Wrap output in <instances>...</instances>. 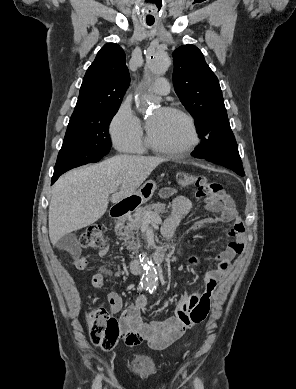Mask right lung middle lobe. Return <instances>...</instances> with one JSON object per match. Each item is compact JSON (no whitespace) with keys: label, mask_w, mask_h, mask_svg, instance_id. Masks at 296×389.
<instances>
[{"label":"right lung middle lobe","mask_w":296,"mask_h":389,"mask_svg":"<svg viewBox=\"0 0 296 389\" xmlns=\"http://www.w3.org/2000/svg\"><path fill=\"white\" fill-rule=\"evenodd\" d=\"M119 106L101 108L70 120L54 170L98 162L111 147L109 124Z\"/></svg>","instance_id":"1"}]
</instances>
